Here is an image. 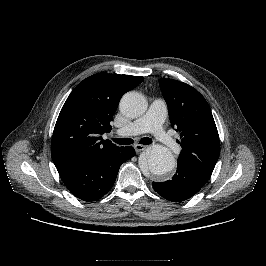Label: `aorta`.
Returning <instances> with one entry per match:
<instances>
[{"mask_svg":"<svg viewBox=\"0 0 266 266\" xmlns=\"http://www.w3.org/2000/svg\"><path fill=\"white\" fill-rule=\"evenodd\" d=\"M119 108L126 117H139L146 111V100L137 92H128L122 97ZM140 167L155 176H162L174 169L175 158L168 148L152 145L140 157Z\"/></svg>","mask_w":266,"mask_h":266,"instance_id":"aorta-1","label":"aorta"}]
</instances>
